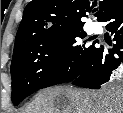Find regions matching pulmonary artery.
<instances>
[{
  "instance_id": "pulmonary-artery-1",
  "label": "pulmonary artery",
  "mask_w": 123,
  "mask_h": 113,
  "mask_svg": "<svg viewBox=\"0 0 123 113\" xmlns=\"http://www.w3.org/2000/svg\"><path fill=\"white\" fill-rule=\"evenodd\" d=\"M91 30L94 32V33H98L99 32V25L96 24V23H93L91 25Z\"/></svg>"
}]
</instances>
